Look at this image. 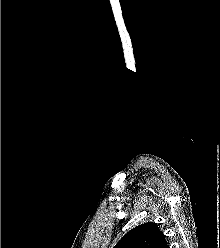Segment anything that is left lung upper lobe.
<instances>
[{"label":"left lung upper lobe","mask_w":220,"mask_h":248,"mask_svg":"<svg viewBox=\"0 0 220 248\" xmlns=\"http://www.w3.org/2000/svg\"><path fill=\"white\" fill-rule=\"evenodd\" d=\"M114 248H169L157 224H141L124 235Z\"/></svg>","instance_id":"5c2ea615"}]
</instances>
